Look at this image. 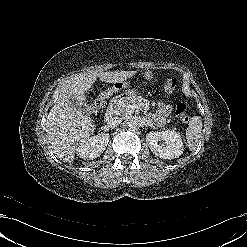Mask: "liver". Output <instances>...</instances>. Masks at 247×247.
Returning <instances> with one entry per match:
<instances>
[{"mask_svg": "<svg viewBox=\"0 0 247 247\" xmlns=\"http://www.w3.org/2000/svg\"><path fill=\"white\" fill-rule=\"evenodd\" d=\"M136 73L137 71H89L74 74L62 83L59 96L45 123L47 142L52 145L58 158L72 162L77 146L85 142L95 130L93 119L86 111L74 107L70 99L85 104V92L97 78L107 83H116L127 80Z\"/></svg>", "mask_w": 247, "mask_h": 247, "instance_id": "6515ba94", "label": "liver"}]
</instances>
